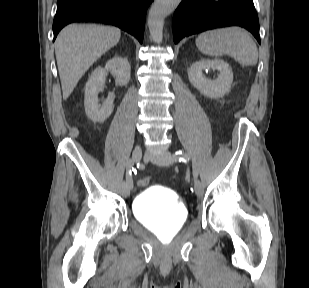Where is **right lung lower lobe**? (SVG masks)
<instances>
[{
    "label": "right lung lower lobe",
    "mask_w": 309,
    "mask_h": 288,
    "mask_svg": "<svg viewBox=\"0 0 309 288\" xmlns=\"http://www.w3.org/2000/svg\"><path fill=\"white\" fill-rule=\"evenodd\" d=\"M153 0H58L53 22L55 40L67 24L77 21L108 23L143 41L145 16Z\"/></svg>",
    "instance_id": "obj_1"
}]
</instances>
